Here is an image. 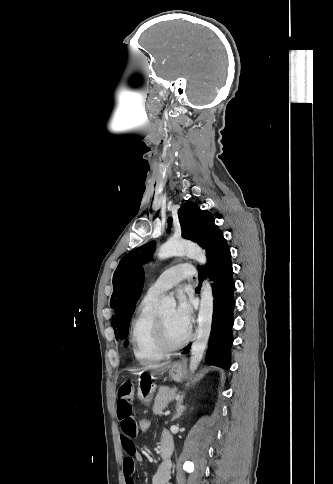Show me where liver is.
Listing matches in <instances>:
<instances>
[{"instance_id":"liver-1","label":"liver","mask_w":333,"mask_h":484,"mask_svg":"<svg viewBox=\"0 0 333 484\" xmlns=\"http://www.w3.org/2000/svg\"><path fill=\"white\" fill-rule=\"evenodd\" d=\"M171 365L170 362H163V363H160V364H150V365H147L141 369H137L135 371H141V372H145L147 370H151L153 371L154 373H165L169 366Z\"/></svg>"}]
</instances>
